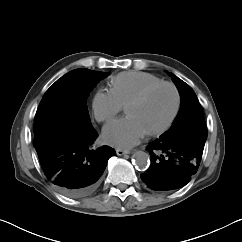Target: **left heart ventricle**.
I'll return each instance as SVG.
<instances>
[{"mask_svg":"<svg viewBox=\"0 0 242 242\" xmlns=\"http://www.w3.org/2000/svg\"><path fill=\"white\" fill-rule=\"evenodd\" d=\"M176 98L169 86H160L153 90L148 97L127 110L145 132L154 130L165 124L175 108Z\"/></svg>","mask_w":242,"mask_h":242,"instance_id":"left-heart-ventricle-1","label":"left heart ventricle"}]
</instances>
